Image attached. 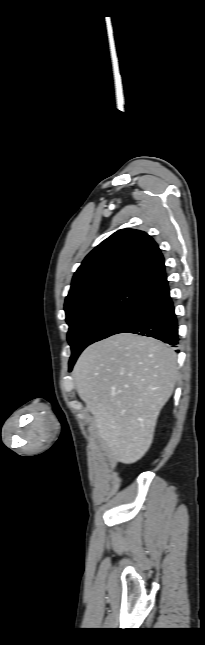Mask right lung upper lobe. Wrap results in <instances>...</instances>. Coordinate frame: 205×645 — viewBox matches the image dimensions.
<instances>
[{
  "mask_svg": "<svg viewBox=\"0 0 205 645\" xmlns=\"http://www.w3.org/2000/svg\"><path fill=\"white\" fill-rule=\"evenodd\" d=\"M165 276L155 241L143 231L122 229L86 256L74 274L65 307L125 285L147 289Z\"/></svg>",
  "mask_w": 205,
  "mask_h": 645,
  "instance_id": "1",
  "label": "right lung upper lobe"
}]
</instances>
